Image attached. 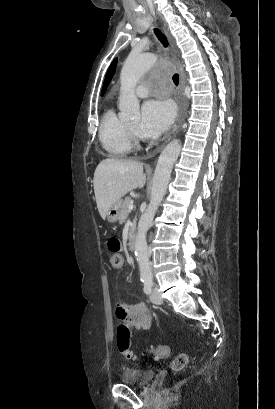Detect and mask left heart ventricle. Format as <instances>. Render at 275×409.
I'll return each instance as SVG.
<instances>
[{"label": "left heart ventricle", "mask_w": 275, "mask_h": 409, "mask_svg": "<svg viewBox=\"0 0 275 409\" xmlns=\"http://www.w3.org/2000/svg\"><path fill=\"white\" fill-rule=\"evenodd\" d=\"M129 127L137 131L138 128H139V121L135 122V123H132V124H129Z\"/></svg>", "instance_id": "left-heart-ventricle-1"}]
</instances>
